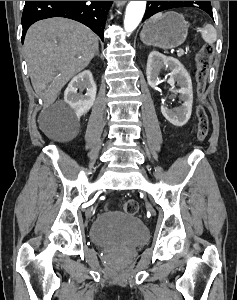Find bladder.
<instances>
[{
  "mask_svg": "<svg viewBox=\"0 0 237 300\" xmlns=\"http://www.w3.org/2000/svg\"><path fill=\"white\" fill-rule=\"evenodd\" d=\"M147 237L148 230L142 220L119 211L99 214L90 227V239L98 246L139 245Z\"/></svg>",
  "mask_w": 237,
  "mask_h": 300,
  "instance_id": "bladder-1",
  "label": "bladder"
}]
</instances>
